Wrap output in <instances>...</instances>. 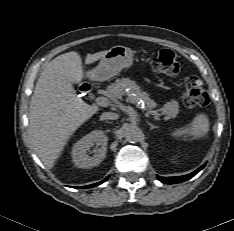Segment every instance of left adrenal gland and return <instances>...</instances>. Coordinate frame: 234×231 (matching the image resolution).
<instances>
[{"label":"left adrenal gland","mask_w":234,"mask_h":231,"mask_svg":"<svg viewBox=\"0 0 234 231\" xmlns=\"http://www.w3.org/2000/svg\"><path fill=\"white\" fill-rule=\"evenodd\" d=\"M147 124L150 126L151 131L157 128V126L153 125L152 123L147 122Z\"/></svg>","instance_id":"a2214340"}]
</instances>
